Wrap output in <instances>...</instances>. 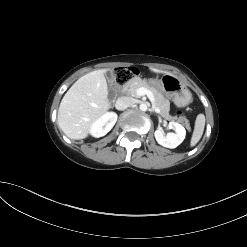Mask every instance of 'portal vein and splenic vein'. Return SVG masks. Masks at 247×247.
I'll use <instances>...</instances> for the list:
<instances>
[{"mask_svg":"<svg viewBox=\"0 0 247 247\" xmlns=\"http://www.w3.org/2000/svg\"><path fill=\"white\" fill-rule=\"evenodd\" d=\"M137 95L138 96L147 95V97L149 98V100L151 101V103H152V105L154 107V95L150 90H148L147 88L141 87V88L137 89ZM154 110L157 113L159 112V109H157L155 107H154Z\"/></svg>","mask_w":247,"mask_h":247,"instance_id":"portal-vein-and-splenic-vein-1","label":"portal vein and splenic vein"}]
</instances>
